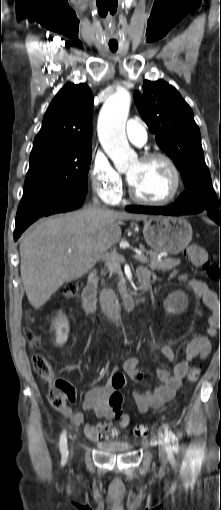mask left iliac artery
I'll use <instances>...</instances> for the list:
<instances>
[{
	"label": "left iliac artery",
	"instance_id": "obj_1",
	"mask_svg": "<svg viewBox=\"0 0 221 510\" xmlns=\"http://www.w3.org/2000/svg\"><path fill=\"white\" fill-rule=\"evenodd\" d=\"M164 430H165L166 449L169 450L171 448V446H170V438H171L172 443H173V447L171 449H173L175 452H177L179 445H178V439H177L176 435L169 429V427L167 425H164Z\"/></svg>",
	"mask_w": 221,
	"mask_h": 510
}]
</instances>
